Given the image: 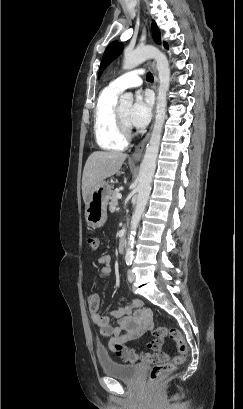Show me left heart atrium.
Wrapping results in <instances>:
<instances>
[{
  "label": "left heart atrium",
  "mask_w": 243,
  "mask_h": 409,
  "mask_svg": "<svg viewBox=\"0 0 243 409\" xmlns=\"http://www.w3.org/2000/svg\"><path fill=\"white\" fill-rule=\"evenodd\" d=\"M152 101L147 93L140 92L131 106L127 122L131 127L142 128L151 118Z\"/></svg>",
  "instance_id": "1"
}]
</instances>
